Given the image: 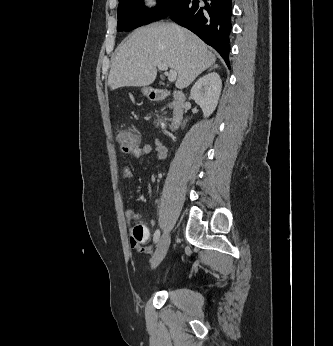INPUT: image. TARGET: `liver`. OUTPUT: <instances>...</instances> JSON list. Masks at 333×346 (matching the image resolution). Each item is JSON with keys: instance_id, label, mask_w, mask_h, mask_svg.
<instances>
[{"instance_id": "liver-1", "label": "liver", "mask_w": 333, "mask_h": 346, "mask_svg": "<svg viewBox=\"0 0 333 346\" xmlns=\"http://www.w3.org/2000/svg\"><path fill=\"white\" fill-rule=\"evenodd\" d=\"M216 61L207 45L187 29L173 23H154L135 30L119 46L109 76L111 90L146 87L164 63L177 73L175 86H189Z\"/></svg>"}]
</instances>
